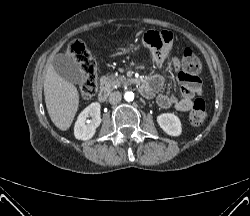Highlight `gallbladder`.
<instances>
[{
    "label": "gallbladder",
    "instance_id": "1",
    "mask_svg": "<svg viewBox=\"0 0 250 216\" xmlns=\"http://www.w3.org/2000/svg\"><path fill=\"white\" fill-rule=\"evenodd\" d=\"M52 65L59 76L68 82L79 84L83 82L84 72L81 67L68 55L57 54Z\"/></svg>",
    "mask_w": 250,
    "mask_h": 216
}]
</instances>
